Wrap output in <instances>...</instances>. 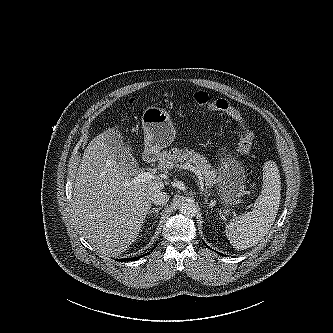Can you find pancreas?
Listing matches in <instances>:
<instances>
[{
  "label": "pancreas",
  "mask_w": 333,
  "mask_h": 333,
  "mask_svg": "<svg viewBox=\"0 0 333 333\" xmlns=\"http://www.w3.org/2000/svg\"><path fill=\"white\" fill-rule=\"evenodd\" d=\"M159 167L163 171L178 167L179 164H192L203 175L206 185L210 188L215 184L217 171L208 163L206 157L194 150L172 148L158 154Z\"/></svg>",
  "instance_id": "1"
}]
</instances>
